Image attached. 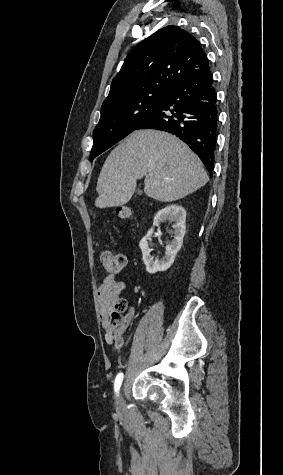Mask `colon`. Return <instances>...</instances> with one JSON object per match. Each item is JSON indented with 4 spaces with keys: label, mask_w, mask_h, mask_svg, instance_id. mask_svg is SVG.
Here are the masks:
<instances>
[{
    "label": "colon",
    "mask_w": 283,
    "mask_h": 475,
    "mask_svg": "<svg viewBox=\"0 0 283 475\" xmlns=\"http://www.w3.org/2000/svg\"><path fill=\"white\" fill-rule=\"evenodd\" d=\"M118 215L122 218H127L131 215V209L127 205L118 208ZM100 261L106 272L111 276H118L121 274L125 266V256L120 252H112L109 250H102L100 252ZM115 309H122L123 314L128 309V303L122 298H118L115 303Z\"/></svg>",
    "instance_id": "1"
}]
</instances>
